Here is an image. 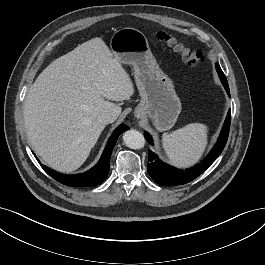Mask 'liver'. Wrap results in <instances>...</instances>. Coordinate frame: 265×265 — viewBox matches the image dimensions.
<instances>
[{
  "instance_id": "liver-1",
  "label": "liver",
  "mask_w": 265,
  "mask_h": 265,
  "mask_svg": "<svg viewBox=\"0 0 265 265\" xmlns=\"http://www.w3.org/2000/svg\"><path fill=\"white\" fill-rule=\"evenodd\" d=\"M134 87L128 73L101 38L57 58L30 87L24 123L31 147L51 168L78 169L88 158L105 125L102 112L116 119Z\"/></svg>"
}]
</instances>
